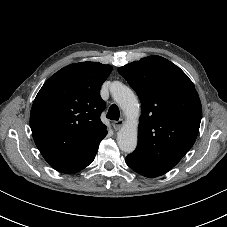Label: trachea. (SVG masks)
I'll return each mask as SVG.
<instances>
[{"instance_id":"1","label":"trachea","mask_w":227,"mask_h":227,"mask_svg":"<svg viewBox=\"0 0 227 227\" xmlns=\"http://www.w3.org/2000/svg\"><path fill=\"white\" fill-rule=\"evenodd\" d=\"M120 111L117 105L112 104L107 113V118L110 120H119Z\"/></svg>"}]
</instances>
